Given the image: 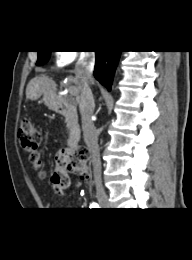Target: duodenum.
Returning <instances> with one entry per match:
<instances>
[{"label":"duodenum","instance_id":"obj_1","mask_svg":"<svg viewBox=\"0 0 192 260\" xmlns=\"http://www.w3.org/2000/svg\"><path fill=\"white\" fill-rule=\"evenodd\" d=\"M55 111L65 116L69 122L70 137L69 150L76 151L79 149L80 128L77 123L75 111L63 101H57L55 104Z\"/></svg>","mask_w":192,"mask_h":260}]
</instances>
